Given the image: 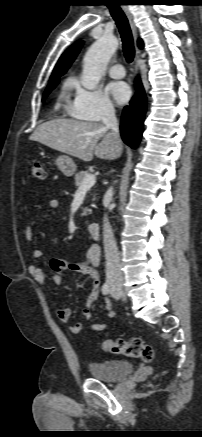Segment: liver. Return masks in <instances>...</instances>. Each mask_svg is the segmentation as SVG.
I'll use <instances>...</instances> for the list:
<instances>
[{
    "instance_id": "1",
    "label": "liver",
    "mask_w": 202,
    "mask_h": 437,
    "mask_svg": "<svg viewBox=\"0 0 202 437\" xmlns=\"http://www.w3.org/2000/svg\"><path fill=\"white\" fill-rule=\"evenodd\" d=\"M29 139L85 162L91 161L94 155L100 159L113 160L122 150L121 144L104 124L72 119L44 122Z\"/></svg>"
}]
</instances>
